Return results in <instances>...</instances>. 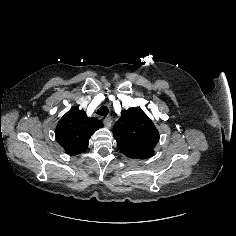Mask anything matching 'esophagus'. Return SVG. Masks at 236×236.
I'll use <instances>...</instances> for the list:
<instances>
[{
    "label": "esophagus",
    "mask_w": 236,
    "mask_h": 236,
    "mask_svg": "<svg viewBox=\"0 0 236 236\" xmlns=\"http://www.w3.org/2000/svg\"><path fill=\"white\" fill-rule=\"evenodd\" d=\"M103 122H104V125H105L107 128H110V127H111L112 120H111L110 117L104 118Z\"/></svg>",
    "instance_id": "1"
}]
</instances>
